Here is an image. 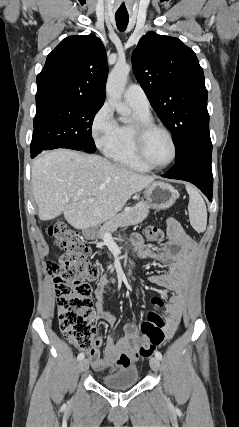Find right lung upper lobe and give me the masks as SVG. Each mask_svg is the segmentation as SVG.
Here are the masks:
<instances>
[{
  "instance_id": "right-lung-upper-lobe-1",
  "label": "right lung upper lobe",
  "mask_w": 239,
  "mask_h": 427,
  "mask_svg": "<svg viewBox=\"0 0 239 427\" xmlns=\"http://www.w3.org/2000/svg\"><path fill=\"white\" fill-rule=\"evenodd\" d=\"M108 73L106 51L93 34L65 38L37 76L36 100L66 99L102 104Z\"/></svg>"
}]
</instances>
